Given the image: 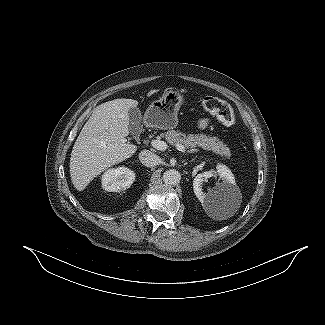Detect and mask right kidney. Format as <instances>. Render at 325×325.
Wrapping results in <instances>:
<instances>
[{"label":"right kidney","mask_w":325,"mask_h":325,"mask_svg":"<svg viewBox=\"0 0 325 325\" xmlns=\"http://www.w3.org/2000/svg\"><path fill=\"white\" fill-rule=\"evenodd\" d=\"M134 180L135 173L129 168H112L102 175V188L108 192H118L129 188Z\"/></svg>","instance_id":"right-kidney-1"}]
</instances>
